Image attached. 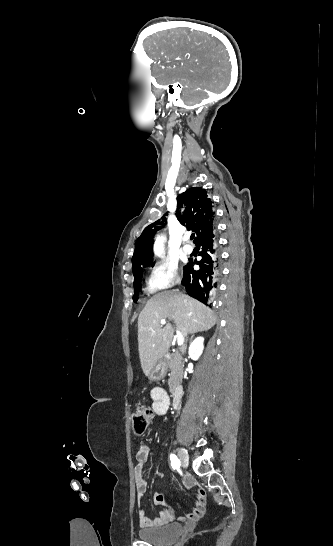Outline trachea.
I'll list each match as a JSON object with an SVG mask.
<instances>
[{"label": "trachea", "mask_w": 333, "mask_h": 546, "mask_svg": "<svg viewBox=\"0 0 333 546\" xmlns=\"http://www.w3.org/2000/svg\"><path fill=\"white\" fill-rule=\"evenodd\" d=\"M193 238H194V234L191 235V239H193Z\"/></svg>", "instance_id": "obj_1"}]
</instances>
